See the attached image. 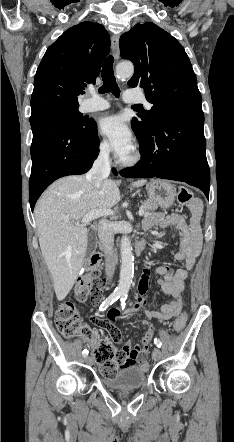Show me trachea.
I'll return each mask as SVG.
<instances>
[{"label": "trachea", "mask_w": 234, "mask_h": 442, "mask_svg": "<svg viewBox=\"0 0 234 442\" xmlns=\"http://www.w3.org/2000/svg\"><path fill=\"white\" fill-rule=\"evenodd\" d=\"M113 63H114V58L112 56H108L102 68L101 75H102L103 85L99 88V93L104 94L110 91L116 97H119L120 90L114 76ZM134 107H139V105H134Z\"/></svg>", "instance_id": "trachea-1"}]
</instances>
